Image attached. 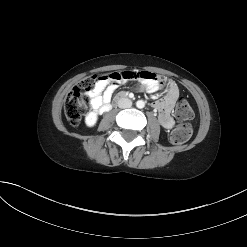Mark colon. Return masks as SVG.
Here are the masks:
<instances>
[{"label":"colon","mask_w":247,"mask_h":247,"mask_svg":"<svg viewBox=\"0 0 247 247\" xmlns=\"http://www.w3.org/2000/svg\"><path fill=\"white\" fill-rule=\"evenodd\" d=\"M101 79L100 75L89 76L73 88L65 101V116L72 126H77L83 117L88 103V91L92 90L97 81ZM194 115L193 109L184 98H180L175 109V117L178 121H187ZM192 134L191 126L187 123L179 124L170 135V141L173 144H183L189 140Z\"/></svg>","instance_id":"colon-1"}]
</instances>
